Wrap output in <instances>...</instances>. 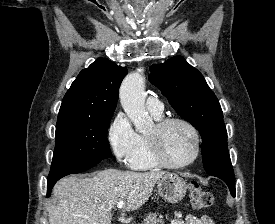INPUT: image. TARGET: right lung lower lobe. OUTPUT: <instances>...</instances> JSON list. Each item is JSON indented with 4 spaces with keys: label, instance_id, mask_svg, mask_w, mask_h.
<instances>
[{
    "label": "right lung lower lobe",
    "instance_id": "1",
    "mask_svg": "<svg viewBox=\"0 0 275 224\" xmlns=\"http://www.w3.org/2000/svg\"><path fill=\"white\" fill-rule=\"evenodd\" d=\"M92 166H94V165H92ZM92 166H88V167H86V168H81V169H78V170H74V171H72V172H70V173H67V174H65V175H63V176H61V177H58V178L48 179L47 197H49L50 192H51V190H52V187L54 186V184H55L60 178L66 176V175H69V174H73V173H81V172H83V171L88 170V169L91 168Z\"/></svg>",
    "mask_w": 275,
    "mask_h": 224
}]
</instances>
